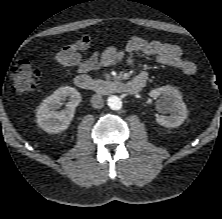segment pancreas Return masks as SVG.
Returning a JSON list of instances; mask_svg holds the SVG:
<instances>
[{
    "instance_id": "pancreas-1",
    "label": "pancreas",
    "mask_w": 222,
    "mask_h": 219,
    "mask_svg": "<svg viewBox=\"0 0 222 219\" xmlns=\"http://www.w3.org/2000/svg\"><path fill=\"white\" fill-rule=\"evenodd\" d=\"M100 83H102V80H96V81H95V84H96V85H98V84H100Z\"/></svg>"
}]
</instances>
